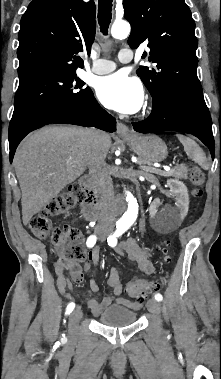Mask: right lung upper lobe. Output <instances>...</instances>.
Instances as JSON below:
<instances>
[{"label":"right lung upper lobe","mask_w":221,"mask_h":379,"mask_svg":"<svg viewBox=\"0 0 221 379\" xmlns=\"http://www.w3.org/2000/svg\"><path fill=\"white\" fill-rule=\"evenodd\" d=\"M19 80L83 67L96 31L95 4L82 0H33L21 18Z\"/></svg>","instance_id":"right-lung-upper-lobe-1"}]
</instances>
